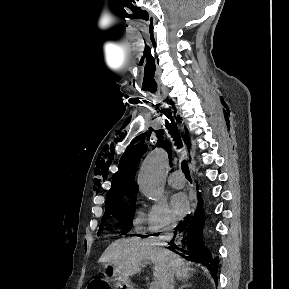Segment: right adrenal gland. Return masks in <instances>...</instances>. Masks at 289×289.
Masks as SVG:
<instances>
[{
	"label": "right adrenal gland",
	"mask_w": 289,
	"mask_h": 289,
	"mask_svg": "<svg viewBox=\"0 0 289 289\" xmlns=\"http://www.w3.org/2000/svg\"><path fill=\"white\" fill-rule=\"evenodd\" d=\"M191 284L187 283V281L182 280V284L178 287V289H184L186 287H189Z\"/></svg>",
	"instance_id": "2a0ac1e0"
}]
</instances>
